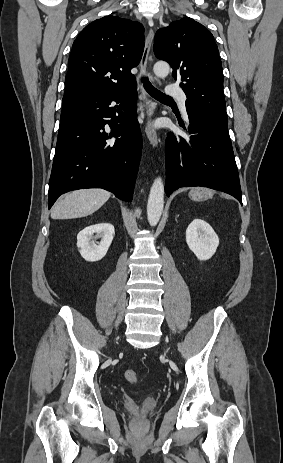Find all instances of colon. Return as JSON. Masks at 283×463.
<instances>
[{
    "instance_id": "colon-1",
    "label": "colon",
    "mask_w": 283,
    "mask_h": 463,
    "mask_svg": "<svg viewBox=\"0 0 283 463\" xmlns=\"http://www.w3.org/2000/svg\"><path fill=\"white\" fill-rule=\"evenodd\" d=\"M125 379L130 383H137L138 382V374L134 370H126L124 372Z\"/></svg>"
}]
</instances>
